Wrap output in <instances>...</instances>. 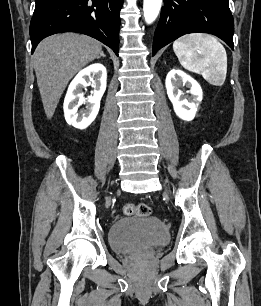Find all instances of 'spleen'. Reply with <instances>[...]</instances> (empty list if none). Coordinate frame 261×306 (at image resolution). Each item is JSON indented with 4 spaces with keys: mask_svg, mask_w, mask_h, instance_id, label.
<instances>
[{
    "mask_svg": "<svg viewBox=\"0 0 261 306\" xmlns=\"http://www.w3.org/2000/svg\"><path fill=\"white\" fill-rule=\"evenodd\" d=\"M180 64L201 74L214 86H222L227 73V54L223 45L212 35L191 33L173 42Z\"/></svg>",
    "mask_w": 261,
    "mask_h": 306,
    "instance_id": "1",
    "label": "spleen"
}]
</instances>
